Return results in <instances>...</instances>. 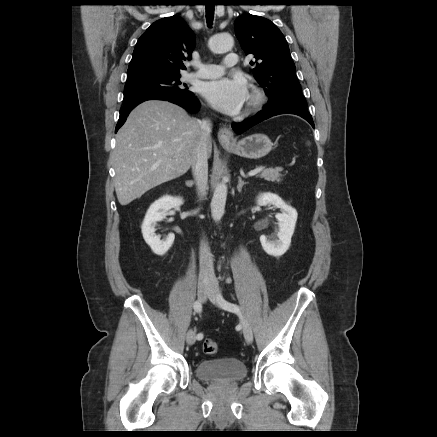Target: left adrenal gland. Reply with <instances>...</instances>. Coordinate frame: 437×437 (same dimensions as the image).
<instances>
[{"label": "left adrenal gland", "mask_w": 437, "mask_h": 437, "mask_svg": "<svg viewBox=\"0 0 437 437\" xmlns=\"http://www.w3.org/2000/svg\"><path fill=\"white\" fill-rule=\"evenodd\" d=\"M247 184V182H244L242 180V178L239 176L238 177V185H237V190L238 192H241L243 185Z\"/></svg>", "instance_id": "1"}]
</instances>
